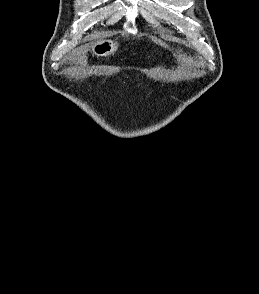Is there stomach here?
<instances>
[{
    "mask_svg": "<svg viewBox=\"0 0 259 294\" xmlns=\"http://www.w3.org/2000/svg\"><path fill=\"white\" fill-rule=\"evenodd\" d=\"M118 47L119 43L111 39H100L90 43L91 52L98 57L114 54Z\"/></svg>",
    "mask_w": 259,
    "mask_h": 294,
    "instance_id": "0dacf381",
    "label": "stomach"
}]
</instances>
